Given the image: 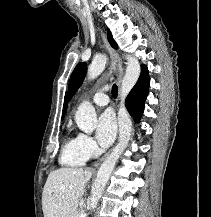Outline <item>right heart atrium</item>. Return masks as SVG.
<instances>
[{
    "instance_id": "right-heart-atrium-1",
    "label": "right heart atrium",
    "mask_w": 211,
    "mask_h": 217,
    "mask_svg": "<svg viewBox=\"0 0 211 217\" xmlns=\"http://www.w3.org/2000/svg\"><path fill=\"white\" fill-rule=\"evenodd\" d=\"M77 138L81 151L88 159L98 155L99 148L92 137L81 133Z\"/></svg>"
}]
</instances>
